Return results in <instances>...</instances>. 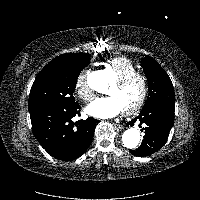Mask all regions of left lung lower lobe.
Wrapping results in <instances>:
<instances>
[{"label":"left lung lower lobe","mask_w":200,"mask_h":200,"mask_svg":"<svg viewBox=\"0 0 200 200\" xmlns=\"http://www.w3.org/2000/svg\"><path fill=\"white\" fill-rule=\"evenodd\" d=\"M175 105L172 102L158 101L146 105L139 116L128 122L133 125L137 119L145 123V137L139 148L130 152L136 156H148L162 148L174 123Z\"/></svg>","instance_id":"1"}]
</instances>
